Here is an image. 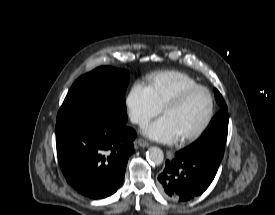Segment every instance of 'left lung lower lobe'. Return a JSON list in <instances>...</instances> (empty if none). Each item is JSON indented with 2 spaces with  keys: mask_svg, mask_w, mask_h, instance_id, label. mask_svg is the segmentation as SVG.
I'll return each instance as SVG.
<instances>
[{
  "mask_svg": "<svg viewBox=\"0 0 275 215\" xmlns=\"http://www.w3.org/2000/svg\"><path fill=\"white\" fill-rule=\"evenodd\" d=\"M219 164L180 150L167 160L158 176L162 191L171 199L188 201L201 195L213 181Z\"/></svg>",
  "mask_w": 275,
  "mask_h": 215,
  "instance_id": "1",
  "label": "left lung lower lobe"
}]
</instances>
